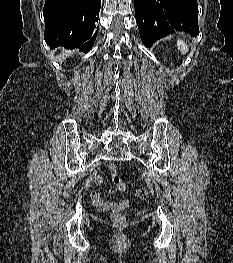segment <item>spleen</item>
Instances as JSON below:
<instances>
[{"instance_id":"1","label":"spleen","mask_w":233,"mask_h":263,"mask_svg":"<svg viewBox=\"0 0 233 263\" xmlns=\"http://www.w3.org/2000/svg\"><path fill=\"white\" fill-rule=\"evenodd\" d=\"M177 46L182 54H186L189 50L188 45L182 40L177 41Z\"/></svg>"}]
</instances>
